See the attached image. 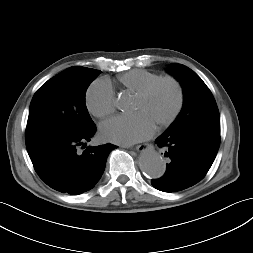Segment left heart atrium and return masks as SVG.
Returning <instances> with one entry per match:
<instances>
[{"mask_svg": "<svg viewBox=\"0 0 253 253\" xmlns=\"http://www.w3.org/2000/svg\"><path fill=\"white\" fill-rule=\"evenodd\" d=\"M154 131L155 123L144 112L116 116L100 125V133L106 140L123 145L147 139Z\"/></svg>", "mask_w": 253, "mask_h": 253, "instance_id": "obj_1", "label": "left heart atrium"}]
</instances>
